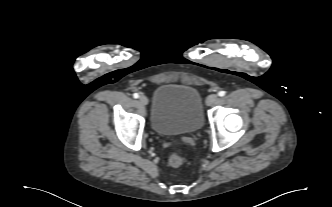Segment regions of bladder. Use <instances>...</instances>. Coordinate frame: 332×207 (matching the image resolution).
Here are the masks:
<instances>
[{"instance_id": "bladder-1", "label": "bladder", "mask_w": 332, "mask_h": 207, "mask_svg": "<svg viewBox=\"0 0 332 207\" xmlns=\"http://www.w3.org/2000/svg\"><path fill=\"white\" fill-rule=\"evenodd\" d=\"M203 121L202 97L196 88L165 83L154 91L151 125L157 134H193L201 129Z\"/></svg>"}]
</instances>
